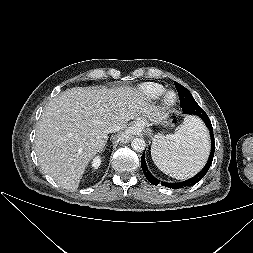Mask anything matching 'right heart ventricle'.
<instances>
[{
    "mask_svg": "<svg viewBox=\"0 0 253 253\" xmlns=\"http://www.w3.org/2000/svg\"><path fill=\"white\" fill-rule=\"evenodd\" d=\"M165 91V88L158 83H144L137 89L138 94L145 100H156Z\"/></svg>",
    "mask_w": 253,
    "mask_h": 253,
    "instance_id": "right-heart-ventricle-1",
    "label": "right heart ventricle"
}]
</instances>
